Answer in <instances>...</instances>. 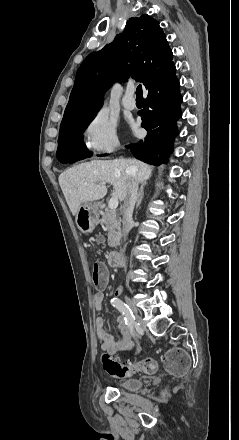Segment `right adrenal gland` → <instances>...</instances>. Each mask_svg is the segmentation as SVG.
<instances>
[{"label": "right adrenal gland", "mask_w": 239, "mask_h": 440, "mask_svg": "<svg viewBox=\"0 0 239 440\" xmlns=\"http://www.w3.org/2000/svg\"><path fill=\"white\" fill-rule=\"evenodd\" d=\"M145 186H146V184H141V186H140L138 198L136 200V210H137V208H139V206H140V204L142 202Z\"/></svg>", "instance_id": "1"}]
</instances>
